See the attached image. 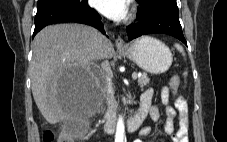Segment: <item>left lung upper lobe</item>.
Returning a JSON list of instances; mask_svg holds the SVG:
<instances>
[{"mask_svg":"<svg viewBox=\"0 0 227 142\" xmlns=\"http://www.w3.org/2000/svg\"><path fill=\"white\" fill-rule=\"evenodd\" d=\"M137 2L142 6V8L137 12L138 15L155 7L178 12L176 0H137Z\"/></svg>","mask_w":227,"mask_h":142,"instance_id":"1","label":"left lung upper lobe"}]
</instances>
